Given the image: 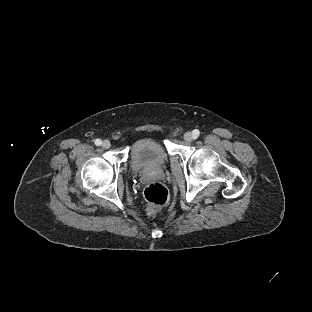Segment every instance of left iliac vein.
I'll return each instance as SVG.
<instances>
[{"mask_svg":"<svg viewBox=\"0 0 312 312\" xmlns=\"http://www.w3.org/2000/svg\"><path fill=\"white\" fill-rule=\"evenodd\" d=\"M184 139H185L187 142H191V141H193L194 136H193V134H192L191 132H186V133L184 134Z\"/></svg>","mask_w":312,"mask_h":312,"instance_id":"1","label":"left iliac vein"}]
</instances>
